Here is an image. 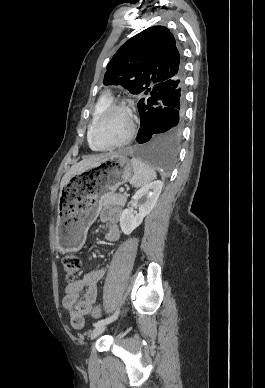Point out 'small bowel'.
<instances>
[{"label":"small bowel","instance_id":"obj_1","mask_svg":"<svg viewBox=\"0 0 265 388\" xmlns=\"http://www.w3.org/2000/svg\"><path fill=\"white\" fill-rule=\"evenodd\" d=\"M121 209L118 207H105L100 212V220L108 224L105 238L108 242H116L120 239L118 221ZM104 271L98 269L84 274L80 279L66 286L62 300L63 307L69 314L73 328L81 329L91 308L96 302L98 290L97 282L103 277Z\"/></svg>","mask_w":265,"mask_h":388}]
</instances>
